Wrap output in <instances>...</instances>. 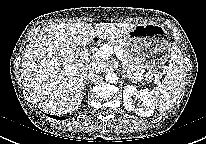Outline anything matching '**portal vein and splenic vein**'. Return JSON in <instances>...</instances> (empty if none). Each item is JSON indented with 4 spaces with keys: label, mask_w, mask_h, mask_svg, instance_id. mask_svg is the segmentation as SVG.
<instances>
[{
    "label": "portal vein and splenic vein",
    "mask_w": 206,
    "mask_h": 144,
    "mask_svg": "<svg viewBox=\"0 0 206 144\" xmlns=\"http://www.w3.org/2000/svg\"><path fill=\"white\" fill-rule=\"evenodd\" d=\"M114 53L120 58V60H122L121 49L117 46H111V45H103L95 52L94 56L96 58H107V57H110ZM154 77H155L154 78L155 83L159 85L160 84L159 75L155 73ZM141 79L142 77H137L138 81H140Z\"/></svg>",
    "instance_id": "portal-vein-and-splenic-vein-1"
}]
</instances>
